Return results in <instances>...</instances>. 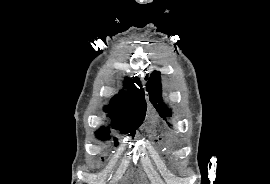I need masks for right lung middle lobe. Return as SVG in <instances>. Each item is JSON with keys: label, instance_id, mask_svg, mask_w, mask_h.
Returning a JSON list of instances; mask_svg holds the SVG:
<instances>
[{"label": "right lung middle lobe", "instance_id": "1", "mask_svg": "<svg viewBox=\"0 0 270 184\" xmlns=\"http://www.w3.org/2000/svg\"><path fill=\"white\" fill-rule=\"evenodd\" d=\"M143 120L138 121L132 125H112L114 128L120 129L122 133H130V135L135 134V130L141 125ZM99 136L102 139H106L109 136V129L102 127L99 131ZM115 145H118L117 140H114Z\"/></svg>", "mask_w": 270, "mask_h": 184}]
</instances>
